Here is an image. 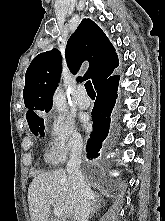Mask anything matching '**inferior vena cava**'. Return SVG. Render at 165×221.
Instances as JSON below:
<instances>
[{
    "mask_svg": "<svg viewBox=\"0 0 165 221\" xmlns=\"http://www.w3.org/2000/svg\"><path fill=\"white\" fill-rule=\"evenodd\" d=\"M83 143H75L71 149L70 160L67 163V173L75 192V207L73 221H88L91 213V200L94 194L84 180L81 171V154Z\"/></svg>",
    "mask_w": 165,
    "mask_h": 221,
    "instance_id": "inferior-vena-cava-1",
    "label": "inferior vena cava"
}]
</instances>
